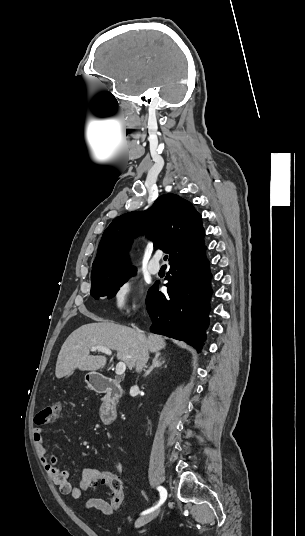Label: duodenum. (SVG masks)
<instances>
[{"instance_id": "duodenum-1", "label": "duodenum", "mask_w": 305, "mask_h": 536, "mask_svg": "<svg viewBox=\"0 0 305 536\" xmlns=\"http://www.w3.org/2000/svg\"><path fill=\"white\" fill-rule=\"evenodd\" d=\"M92 388L104 395L100 407L103 424L111 425L117 420V403L122 395V388L114 378L96 375L91 380Z\"/></svg>"}]
</instances>
